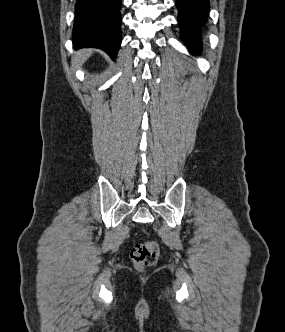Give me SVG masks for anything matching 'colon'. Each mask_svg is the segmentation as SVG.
I'll list each match as a JSON object with an SVG mask.
<instances>
[{
    "label": "colon",
    "mask_w": 285,
    "mask_h": 332,
    "mask_svg": "<svg viewBox=\"0 0 285 332\" xmlns=\"http://www.w3.org/2000/svg\"><path fill=\"white\" fill-rule=\"evenodd\" d=\"M158 256L159 246L155 241H145L136 244L130 251L131 260L138 268H146L155 265Z\"/></svg>",
    "instance_id": "colon-1"
}]
</instances>
